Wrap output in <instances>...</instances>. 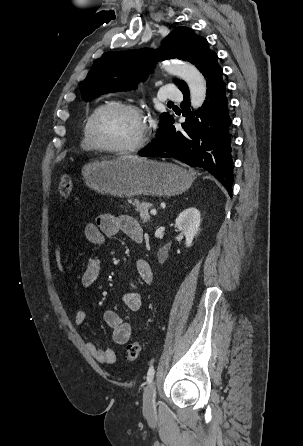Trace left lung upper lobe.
<instances>
[{
  "instance_id": "5c2ea615",
  "label": "left lung upper lobe",
  "mask_w": 303,
  "mask_h": 446,
  "mask_svg": "<svg viewBox=\"0 0 303 446\" xmlns=\"http://www.w3.org/2000/svg\"><path fill=\"white\" fill-rule=\"evenodd\" d=\"M215 54L209 49L207 40L197 36L191 28L177 27L163 40L159 50L104 53L94 61L80 91L83 99L89 101L108 92L130 90L148 77L153 63L170 58L189 61L202 72ZM174 82L180 90L188 87L183 80L174 79ZM172 118L162 113L159 129Z\"/></svg>"
}]
</instances>
